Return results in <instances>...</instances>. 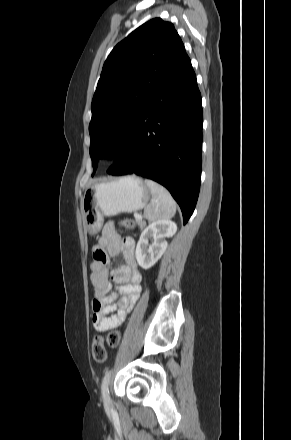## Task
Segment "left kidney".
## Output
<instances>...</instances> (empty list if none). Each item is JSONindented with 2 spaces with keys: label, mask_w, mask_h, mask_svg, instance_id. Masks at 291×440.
<instances>
[{
  "label": "left kidney",
  "mask_w": 291,
  "mask_h": 440,
  "mask_svg": "<svg viewBox=\"0 0 291 440\" xmlns=\"http://www.w3.org/2000/svg\"><path fill=\"white\" fill-rule=\"evenodd\" d=\"M177 225L171 220L160 219L150 223L141 233L136 246V260L143 269L151 268L167 248L166 238L172 237ZM149 240L152 241L149 245Z\"/></svg>",
  "instance_id": "1"
}]
</instances>
